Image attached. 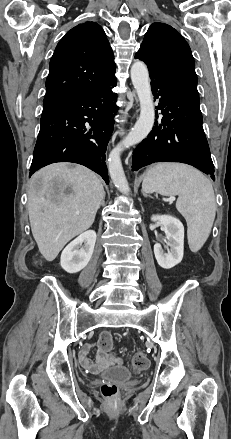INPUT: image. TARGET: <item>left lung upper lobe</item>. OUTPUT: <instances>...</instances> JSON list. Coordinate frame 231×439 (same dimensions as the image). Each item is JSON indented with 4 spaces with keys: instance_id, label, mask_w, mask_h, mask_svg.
<instances>
[{
    "instance_id": "1",
    "label": "left lung upper lobe",
    "mask_w": 231,
    "mask_h": 439,
    "mask_svg": "<svg viewBox=\"0 0 231 439\" xmlns=\"http://www.w3.org/2000/svg\"><path fill=\"white\" fill-rule=\"evenodd\" d=\"M136 57L199 104L195 62L185 39L165 23H153Z\"/></svg>"
}]
</instances>
